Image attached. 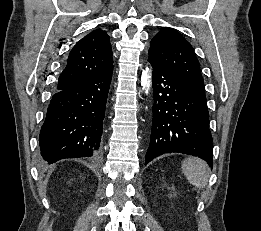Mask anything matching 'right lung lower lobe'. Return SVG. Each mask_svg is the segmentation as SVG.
<instances>
[{"label": "right lung lower lobe", "instance_id": "98d812e1", "mask_svg": "<svg viewBox=\"0 0 261 231\" xmlns=\"http://www.w3.org/2000/svg\"><path fill=\"white\" fill-rule=\"evenodd\" d=\"M112 72L113 66L52 96L39 138L43 163L99 154Z\"/></svg>", "mask_w": 261, "mask_h": 231}]
</instances>
